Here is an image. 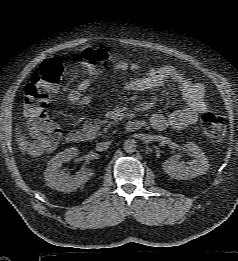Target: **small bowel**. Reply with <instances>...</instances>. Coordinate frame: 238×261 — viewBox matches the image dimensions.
<instances>
[{
  "instance_id": "c3829d8e",
  "label": "small bowel",
  "mask_w": 238,
  "mask_h": 261,
  "mask_svg": "<svg viewBox=\"0 0 238 261\" xmlns=\"http://www.w3.org/2000/svg\"><path fill=\"white\" fill-rule=\"evenodd\" d=\"M112 69L116 72L130 71L135 75L134 79L127 84V89L132 92L153 91L162 87L168 80H172L178 85L186 107L174 110L168 115L153 114L150 118V125L155 130L162 131L168 127L183 129L195 124L199 116L207 110L204 86L193 82L183 72L171 65H162L144 71L138 63L129 64L125 61H116L112 64ZM91 84L92 78L83 79L68 95L69 102L81 107L88 106L91 98L83 93L90 88Z\"/></svg>"
}]
</instances>
